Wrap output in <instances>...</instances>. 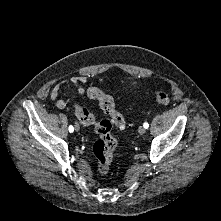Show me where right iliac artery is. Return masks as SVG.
Returning <instances> with one entry per match:
<instances>
[{
	"label": "right iliac artery",
	"instance_id": "right-iliac-artery-1",
	"mask_svg": "<svg viewBox=\"0 0 221 221\" xmlns=\"http://www.w3.org/2000/svg\"><path fill=\"white\" fill-rule=\"evenodd\" d=\"M68 130H69V132H73V130H74L73 126L70 125Z\"/></svg>",
	"mask_w": 221,
	"mask_h": 221
}]
</instances>
